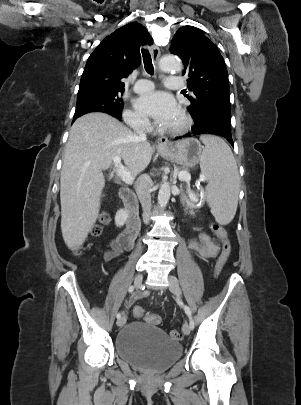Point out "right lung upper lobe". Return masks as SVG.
Returning a JSON list of instances; mask_svg holds the SVG:
<instances>
[{"label": "right lung upper lobe", "mask_w": 301, "mask_h": 405, "mask_svg": "<svg viewBox=\"0 0 301 405\" xmlns=\"http://www.w3.org/2000/svg\"><path fill=\"white\" fill-rule=\"evenodd\" d=\"M152 41L147 29L137 22L104 38L87 60L78 93L89 90L124 92L121 79L138 67L140 46L150 45Z\"/></svg>", "instance_id": "cb5924a9"}]
</instances>
